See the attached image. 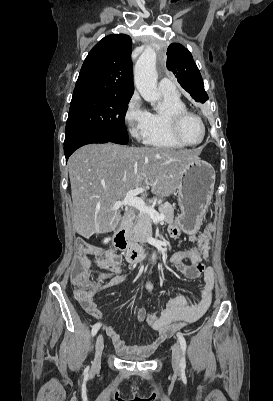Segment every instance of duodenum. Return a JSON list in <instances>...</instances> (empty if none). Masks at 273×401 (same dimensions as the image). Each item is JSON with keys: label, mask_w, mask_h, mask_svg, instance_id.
<instances>
[{"label": "duodenum", "mask_w": 273, "mask_h": 401, "mask_svg": "<svg viewBox=\"0 0 273 401\" xmlns=\"http://www.w3.org/2000/svg\"><path fill=\"white\" fill-rule=\"evenodd\" d=\"M133 218L132 213H127L123 218L115 234V246L123 252L126 261L132 265L155 261L160 256L158 247L146 248L130 240L128 229Z\"/></svg>", "instance_id": "1"}]
</instances>
